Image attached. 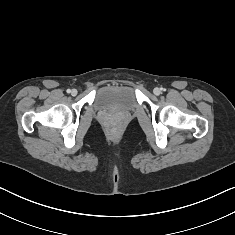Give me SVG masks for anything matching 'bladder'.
Returning <instances> with one entry per match:
<instances>
[{
    "label": "bladder",
    "mask_w": 235,
    "mask_h": 235,
    "mask_svg": "<svg viewBox=\"0 0 235 235\" xmlns=\"http://www.w3.org/2000/svg\"><path fill=\"white\" fill-rule=\"evenodd\" d=\"M94 106L99 111L129 113L137 108L135 96L126 86L109 87L96 94Z\"/></svg>",
    "instance_id": "obj_1"
}]
</instances>
